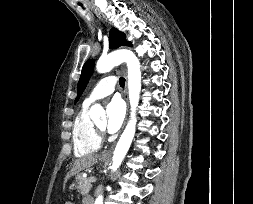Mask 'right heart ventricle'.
I'll use <instances>...</instances> for the list:
<instances>
[{"label":"right heart ventricle","instance_id":"right-heart-ventricle-1","mask_svg":"<svg viewBox=\"0 0 253 204\" xmlns=\"http://www.w3.org/2000/svg\"><path fill=\"white\" fill-rule=\"evenodd\" d=\"M88 107L89 105L83 104L73 123L74 153L78 157L95 153L100 148V138L89 118Z\"/></svg>","mask_w":253,"mask_h":204}]
</instances>
